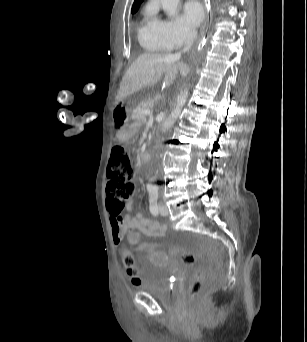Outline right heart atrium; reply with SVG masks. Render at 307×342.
Wrapping results in <instances>:
<instances>
[{
  "mask_svg": "<svg viewBox=\"0 0 307 342\" xmlns=\"http://www.w3.org/2000/svg\"><path fill=\"white\" fill-rule=\"evenodd\" d=\"M155 34L167 46L178 47L186 31L177 21H155Z\"/></svg>",
  "mask_w": 307,
  "mask_h": 342,
  "instance_id": "1",
  "label": "right heart atrium"
}]
</instances>
